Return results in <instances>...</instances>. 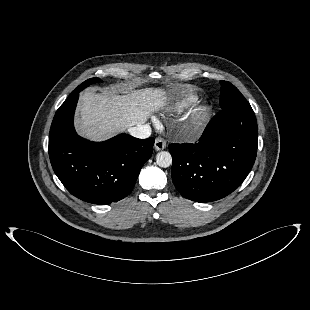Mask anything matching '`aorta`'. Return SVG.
<instances>
[{
    "label": "aorta",
    "mask_w": 310,
    "mask_h": 310,
    "mask_svg": "<svg viewBox=\"0 0 310 310\" xmlns=\"http://www.w3.org/2000/svg\"><path fill=\"white\" fill-rule=\"evenodd\" d=\"M156 163L159 167L167 168L172 165V156L167 151H161L156 155Z\"/></svg>",
    "instance_id": "762f6f07"
}]
</instances>
